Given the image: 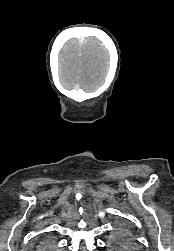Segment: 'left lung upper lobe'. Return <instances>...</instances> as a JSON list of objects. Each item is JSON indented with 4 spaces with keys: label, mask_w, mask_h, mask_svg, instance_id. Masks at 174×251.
Instances as JSON below:
<instances>
[{
    "label": "left lung upper lobe",
    "mask_w": 174,
    "mask_h": 251,
    "mask_svg": "<svg viewBox=\"0 0 174 251\" xmlns=\"http://www.w3.org/2000/svg\"><path fill=\"white\" fill-rule=\"evenodd\" d=\"M117 236L118 237L115 243L118 248L126 249L131 239V232L127 228L122 226L118 229Z\"/></svg>",
    "instance_id": "left-lung-upper-lobe-1"
}]
</instances>
